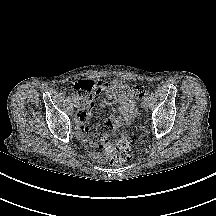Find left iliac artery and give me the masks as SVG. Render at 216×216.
I'll return each instance as SVG.
<instances>
[{"label": "left iliac artery", "mask_w": 216, "mask_h": 216, "mask_svg": "<svg viewBox=\"0 0 216 216\" xmlns=\"http://www.w3.org/2000/svg\"><path fill=\"white\" fill-rule=\"evenodd\" d=\"M144 98H145V99H148V98H149V95L147 94Z\"/></svg>", "instance_id": "left-iliac-artery-1"}]
</instances>
